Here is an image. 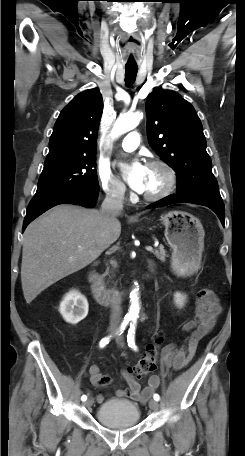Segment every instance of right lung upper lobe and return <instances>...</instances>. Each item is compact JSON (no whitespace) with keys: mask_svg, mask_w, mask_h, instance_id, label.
<instances>
[{"mask_svg":"<svg viewBox=\"0 0 245 456\" xmlns=\"http://www.w3.org/2000/svg\"><path fill=\"white\" fill-rule=\"evenodd\" d=\"M102 111V95L97 88L76 95L54 125L45 164L95 155Z\"/></svg>","mask_w":245,"mask_h":456,"instance_id":"right-lung-upper-lobe-1","label":"right lung upper lobe"}]
</instances>
